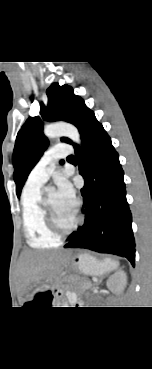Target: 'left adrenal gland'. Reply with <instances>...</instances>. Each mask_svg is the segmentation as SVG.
Returning a JSON list of instances; mask_svg holds the SVG:
<instances>
[{"label": "left adrenal gland", "mask_w": 152, "mask_h": 369, "mask_svg": "<svg viewBox=\"0 0 152 369\" xmlns=\"http://www.w3.org/2000/svg\"><path fill=\"white\" fill-rule=\"evenodd\" d=\"M104 279V276H102L99 281L95 284V287H97L99 284H101L102 280Z\"/></svg>", "instance_id": "left-adrenal-gland-1"}]
</instances>
